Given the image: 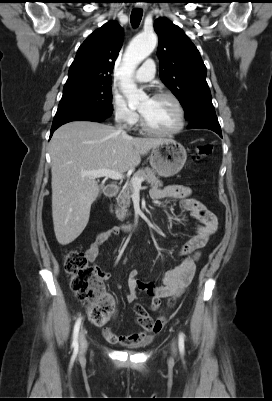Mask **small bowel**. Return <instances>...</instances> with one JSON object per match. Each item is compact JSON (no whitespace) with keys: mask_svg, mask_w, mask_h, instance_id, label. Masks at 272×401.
Here are the masks:
<instances>
[{"mask_svg":"<svg viewBox=\"0 0 272 401\" xmlns=\"http://www.w3.org/2000/svg\"><path fill=\"white\" fill-rule=\"evenodd\" d=\"M191 194L192 190L182 185H169L164 188H155L151 191V196L156 199H179L181 209L189 212L197 221L196 233L180 250V254L184 256L181 264L164 273L161 285L143 283L137 278V269L130 271L127 278L128 292L125 296L127 302L134 303L137 300V292L139 290H146L151 296V307L156 310L160 307L162 299L167 297H179L189 286L195 273L200 251L207 244L209 238L216 232L218 227V220L215 214L202 202L192 198ZM119 233L120 229L117 226L99 232L85 252L87 260L92 263L95 262L101 247ZM96 269L103 279L109 277V273L102 270L99 266H96ZM108 297L116 308L117 302L115 298L111 295H108ZM136 321L141 325V331L124 335L106 332L105 336L107 340L113 344L138 346L148 342L153 334L159 333L163 325L162 323L161 325L147 327L141 324L137 317Z\"/></svg>","mask_w":272,"mask_h":401,"instance_id":"obj_1","label":"small bowel"}]
</instances>
